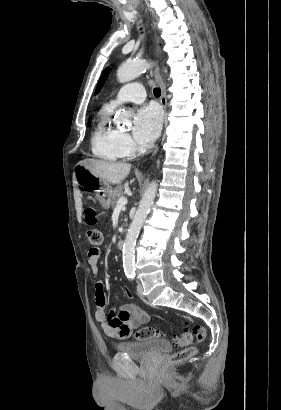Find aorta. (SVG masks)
I'll return each mask as SVG.
<instances>
[{"label": "aorta", "mask_w": 281, "mask_h": 410, "mask_svg": "<svg viewBox=\"0 0 281 410\" xmlns=\"http://www.w3.org/2000/svg\"><path fill=\"white\" fill-rule=\"evenodd\" d=\"M151 64L145 60L125 62L117 70V79L120 83H126L137 78L141 73L146 71ZM129 122V114L127 111L119 110L115 117V123L125 125ZM157 192V183L151 182L146 189L138 210L129 226L124 245H123V267L126 274H134L135 267V245L137 237L140 233L143 222L145 221L151 205L155 199Z\"/></svg>", "instance_id": "aorta-1"}]
</instances>
